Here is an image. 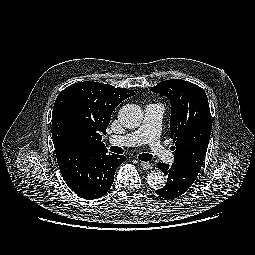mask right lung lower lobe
Here are the masks:
<instances>
[{
  "label": "right lung lower lobe",
  "instance_id": "1",
  "mask_svg": "<svg viewBox=\"0 0 255 255\" xmlns=\"http://www.w3.org/2000/svg\"><path fill=\"white\" fill-rule=\"evenodd\" d=\"M56 156L67 185L88 200L98 199L108 192L117 167L126 161L123 155L107 153L71 152Z\"/></svg>",
  "mask_w": 255,
  "mask_h": 255
}]
</instances>
